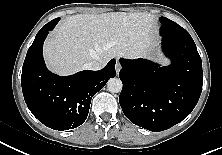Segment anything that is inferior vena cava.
<instances>
[{"label":"inferior vena cava","instance_id":"inferior-vena-cava-1","mask_svg":"<svg viewBox=\"0 0 222 155\" xmlns=\"http://www.w3.org/2000/svg\"><path fill=\"white\" fill-rule=\"evenodd\" d=\"M104 67V65L98 61H90L85 64V68L88 70H100Z\"/></svg>","mask_w":222,"mask_h":155}]
</instances>
